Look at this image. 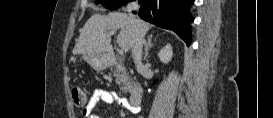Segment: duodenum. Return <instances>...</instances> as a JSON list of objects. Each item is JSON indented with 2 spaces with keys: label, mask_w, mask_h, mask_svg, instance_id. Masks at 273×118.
I'll use <instances>...</instances> for the list:
<instances>
[{
  "label": "duodenum",
  "mask_w": 273,
  "mask_h": 118,
  "mask_svg": "<svg viewBox=\"0 0 273 118\" xmlns=\"http://www.w3.org/2000/svg\"><path fill=\"white\" fill-rule=\"evenodd\" d=\"M108 60L110 62H113V59L108 57ZM143 97V89L139 84H136L132 86V88L129 91V102L131 106L136 107L140 102L142 101Z\"/></svg>",
  "instance_id": "1"
}]
</instances>
